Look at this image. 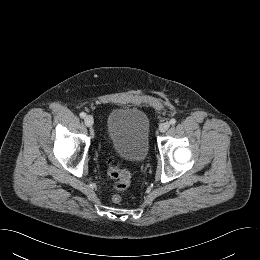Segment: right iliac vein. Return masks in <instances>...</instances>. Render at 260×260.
I'll use <instances>...</instances> for the list:
<instances>
[{"label": "right iliac vein", "instance_id": "63e3f726", "mask_svg": "<svg viewBox=\"0 0 260 260\" xmlns=\"http://www.w3.org/2000/svg\"><path fill=\"white\" fill-rule=\"evenodd\" d=\"M84 122L87 127H92L94 124V119L91 115H87L84 118Z\"/></svg>", "mask_w": 260, "mask_h": 260}]
</instances>
